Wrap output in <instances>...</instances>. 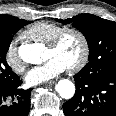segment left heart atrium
Instances as JSON below:
<instances>
[{
  "label": "left heart atrium",
  "mask_w": 116,
  "mask_h": 116,
  "mask_svg": "<svg viewBox=\"0 0 116 116\" xmlns=\"http://www.w3.org/2000/svg\"><path fill=\"white\" fill-rule=\"evenodd\" d=\"M68 66L58 57H52L45 63L33 67L25 76V81L29 85L39 84L49 81L61 73H63Z\"/></svg>",
  "instance_id": "left-heart-atrium-1"
}]
</instances>
